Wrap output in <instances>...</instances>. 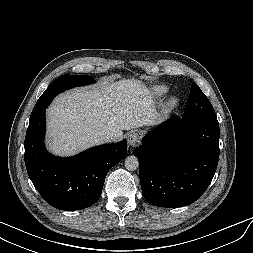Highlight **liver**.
I'll use <instances>...</instances> for the list:
<instances>
[{
	"label": "liver",
	"mask_w": 253,
	"mask_h": 253,
	"mask_svg": "<svg viewBox=\"0 0 253 253\" xmlns=\"http://www.w3.org/2000/svg\"><path fill=\"white\" fill-rule=\"evenodd\" d=\"M155 119L151 93L139 80H105L90 89H72L47 109L48 149L59 156L74 155L102 143L101 131L119 140L122 130L151 125Z\"/></svg>",
	"instance_id": "obj_1"
}]
</instances>
